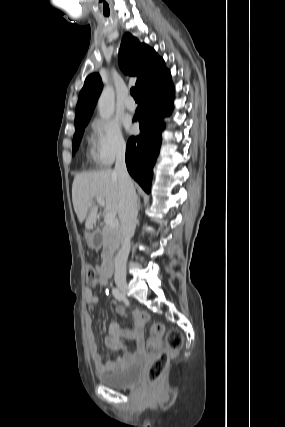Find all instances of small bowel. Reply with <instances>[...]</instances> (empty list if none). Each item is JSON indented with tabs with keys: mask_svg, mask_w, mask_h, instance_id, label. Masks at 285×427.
<instances>
[{
	"mask_svg": "<svg viewBox=\"0 0 285 427\" xmlns=\"http://www.w3.org/2000/svg\"><path fill=\"white\" fill-rule=\"evenodd\" d=\"M96 270V283L90 284L85 288V300L90 305H96L99 302V297L93 293L96 285L99 284L105 286L108 284L109 277H106L104 274V264L97 266ZM116 312L124 318L127 317L125 308L121 305L116 307ZM132 318L135 321L133 328H121L118 323H113L104 339V344L110 353H115L122 350V338L131 339L136 343V351L134 353L123 351L116 360L103 363L92 330V319L89 315L86 316V334L89 342L91 358L98 371L119 370L124 365L139 361L146 356V350L144 348L143 327L148 320V315L146 312L136 309L132 312Z\"/></svg>",
	"mask_w": 285,
	"mask_h": 427,
	"instance_id": "c3829d8e",
	"label": "small bowel"
}]
</instances>
